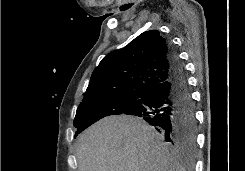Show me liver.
Returning <instances> with one entry per match:
<instances>
[{"mask_svg": "<svg viewBox=\"0 0 245 171\" xmlns=\"http://www.w3.org/2000/svg\"><path fill=\"white\" fill-rule=\"evenodd\" d=\"M79 171H185L161 135L139 118L106 117L78 139Z\"/></svg>", "mask_w": 245, "mask_h": 171, "instance_id": "liver-1", "label": "liver"}]
</instances>
